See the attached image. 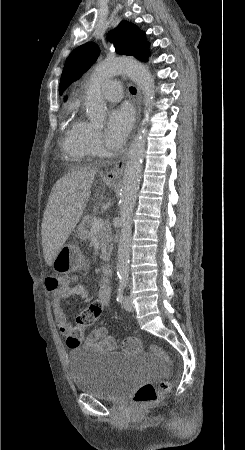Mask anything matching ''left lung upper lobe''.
Returning a JSON list of instances; mask_svg holds the SVG:
<instances>
[{
    "instance_id": "5c2ea615",
    "label": "left lung upper lobe",
    "mask_w": 245,
    "mask_h": 450,
    "mask_svg": "<svg viewBox=\"0 0 245 450\" xmlns=\"http://www.w3.org/2000/svg\"><path fill=\"white\" fill-rule=\"evenodd\" d=\"M108 35L113 41L117 53L134 56L141 61H147L149 45L145 39L144 32L136 25L122 21ZM99 53L100 50L93 43H86L72 51L66 60L62 72L59 85L60 94L92 66Z\"/></svg>"
}]
</instances>
